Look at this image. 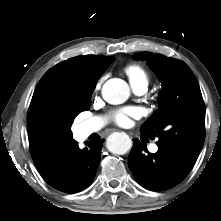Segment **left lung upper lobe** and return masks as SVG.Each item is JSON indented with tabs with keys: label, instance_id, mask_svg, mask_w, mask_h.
Returning <instances> with one entry per match:
<instances>
[{
	"label": "left lung upper lobe",
	"instance_id": "left-lung-upper-lobe-1",
	"mask_svg": "<svg viewBox=\"0 0 221 221\" xmlns=\"http://www.w3.org/2000/svg\"><path fill=\"white\" fill-rule=\"evenodd\" d=\"M158 75L163 91L159 109L141 126V133L177 157L189 170L194 166L205 139V105L196 77L182 61L161 54L141 52Z\"/></svg>",
	"mask_w": 221,
	"mask_h": 221
}]
</instances>
